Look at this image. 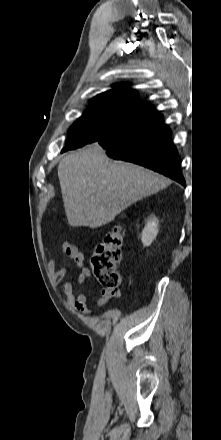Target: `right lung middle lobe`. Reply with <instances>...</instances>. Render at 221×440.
I'll use <instances>...</instances> for the list:
<instances>
[{
	"label": "right lung middle lobe",
	"instance_id": "right-lung-middle-lobe-1",
	"mask_svg": "<svg viewBox=\"0 0 221 440\" xmlns=\"http://www.w3.org/2000/svg\"><path fill=\"white\" fill-rule=\"evenodd\" d=\"M135 114L121 110L111 103H93L70 128L68 141L62 152L96 142Z\"/></svg>",
	"mask_w": 221,
	"mask_h": 440
}]
</instances>
